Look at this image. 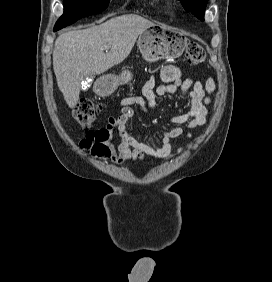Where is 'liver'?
I'll return each instance as SVG.
<instances>
[{"label": "liver", "instance_id": "6515ba94", "mask_svg": "<svg viewBox=\"0 0 272 282\" xmlns=\"http://www.w3.org/2000/svg\"><path fill=\"white\" fill-rule=\"evenodd\" d=\"M152 25L139 15L128 14L60 35L54 45L53 69L69 108L77 105L82 81L124 61L139 35ZM105 45L110 46L106 54Z\"/></svg>", "mask_w": 272, "mask_h": 282}]
</instances>
